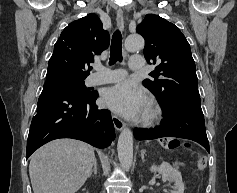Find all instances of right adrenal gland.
Wrapping results in <instances>:
<instances>
[{
  "label": "right adrenal gland",
  "instance_id": "obj_1",
  "mask_svg": "<svg viewBox=\"0 0 237 193\" xmlns=\"http://www.w3.org/2000/svg\"><path fill=\"white\" fill-rule=\"evenodd\" d=\"M94 167L93 169L91 170V172L89 173L88 177H91L92 173H94L95 175H97V159L95 158L94 160Z\"/></svg>",
  "mask_w": 237,
  "mask_h": 193
}]
</instances>
